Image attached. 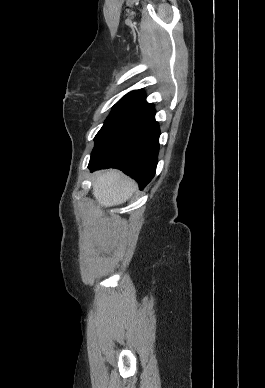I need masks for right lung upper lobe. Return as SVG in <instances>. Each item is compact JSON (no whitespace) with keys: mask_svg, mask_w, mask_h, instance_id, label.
<instances>
[{"mask_svg":"<svg viewBox=\"0 0 265 388\" xmlns=\"http://www.w3.org/2000/svg\"><path fill=\"white\" fill-rule=\"evenodd\" d=\"M125 96L134 97V98H137V99L145 100V95H144V92L142 90L131 91L128 94H126Z\"/></svg>","mask_w":265,"mask_h":388,"instance_id":"1","label":"right lung upper lobe"}]
</instances>
